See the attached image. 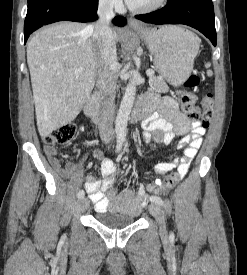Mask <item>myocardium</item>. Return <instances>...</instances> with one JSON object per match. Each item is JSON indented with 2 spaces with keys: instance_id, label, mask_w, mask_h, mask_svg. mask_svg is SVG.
<instances>
[{
  "instance_id": "obj_1",
  "label": "myocardium",
  "mask_w": 247,
  "mask_h": 275,
  "mask_svg": "<svg viewBox=\"0 0 247 275\" xmlns=\"http://www.w3.org/2000/svg\"><path fill=\"white\" fill-rule=\"evenodd\" d=\"M166 2H167V0H157L153 4L148 5L146 7H134V6H132L131 3H128V2H127V5L130 8V10H132L133 12H136V13H151V12H154V11H157V10L161 9L166 4Z\"/></svg>"
}]
</instances>
